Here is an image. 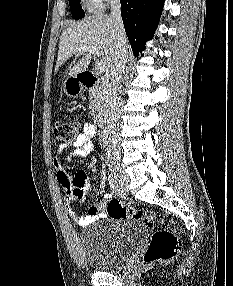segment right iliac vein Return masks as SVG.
Wrapping results in <instances>:
<instances>
[{
	"instance_id": "right-iliac-vein-1",
	"label": "right iliac vein",
	"mask_w": 233,
	"mask_h": 286,
	"mask_svg": "<svg viewBox=\"0 0 233 286\" xmlns=\"http://www.w3.org/2000/svg\"><path fill=\"white\" fill-rule=\"evenodd\" d=\"M108 166L112 175H114L120 187L122 188V191L126 193L129 187V179L128 176L123 172L119 162L116 159L112 158L108 161Z\"/></svg>"
}]
</instances>
